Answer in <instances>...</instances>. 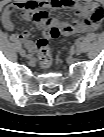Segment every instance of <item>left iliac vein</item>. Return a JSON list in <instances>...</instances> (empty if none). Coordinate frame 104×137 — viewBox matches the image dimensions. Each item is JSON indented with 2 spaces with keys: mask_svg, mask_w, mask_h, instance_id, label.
I'll use <instances>...</instances> for the list:
<instances>
[{
  "mask_svg": "<svg viewBox=\"0 0 104 137\" xmlns=\"http://www.w3.org/2000/svg\"><path fill=\"white\" fill-rule=\"evenodd\" d=\"M73 51H74V53H75L76 55H79V54L82 53V49H81V47H79V46H76Z\"/></svg>",
  "mask_w": 104,
  "mask_h": 137,
  "instance_id": "obj_1",
  "label": "left iliac vein"
}]
</instances>
